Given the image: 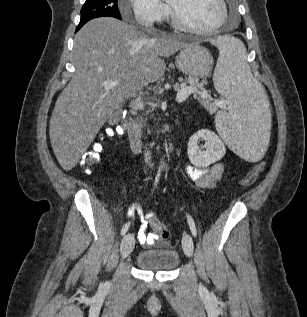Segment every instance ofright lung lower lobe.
I'll return each instance as SVG.
<instances>
[{"instance_id":"98d812e1","label":"right lung lower lobe","mask_w":307,"mask_h":317,"mask_svg":"<svg viewBox=\"0 0 307 317\" xmlns=\"http://www.w3.org/2000/svg\"><path fill=\"white\" fill-rule=\"evenodd\" d=\"M83 25L82 24H79L77 29H76V32L82 27Z\"/></svg>"}]
</instances>
